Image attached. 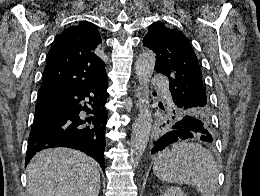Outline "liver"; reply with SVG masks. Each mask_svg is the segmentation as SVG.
Segmentation results:
<instances>
[{
    "mask_svg": "<svg viewBox=\"0 0 260 196\" xmlns=\"http://www.w3.org/2000/svg\"><path fill=\"white\" fill-rule=\"evenodd\" d=\"M28 196H98V164L70 148H49L27 166Z\"/></svg>",
    "mask_w": 260,
    "mask_h": 196,
    "instance_id": "1",
    "label": "liver"
}]
</instances>
